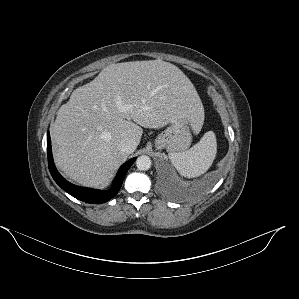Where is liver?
Instances as JSON below:
<instances>
[{
	"label": "liver",
	"instance_id": "1",
	"mask_svg": "<svg viewBox=\"0 0 299 299\" xmlns=\"http://www.w3.org/2000/svg\"><path fill=\"white\" fill-rule=\"evenodd\" d=\"M118 103L131 109L122 112ZM182 116L199 133L204 108L178 67L160 59L111 64L59 108L51 127L56 166L80 185L100 186L129 156L121 140L138 145L142 127L162 128Z\"/></svg>",
	"mask_w": 299,
	"mask_h": 299
}]
</instances>
